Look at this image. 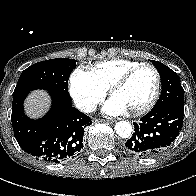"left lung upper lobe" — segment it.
<instances>
[{
	"mask_svg": "<svg viewBox=\"0 0 196 196\" xmlns=\"http://www.w3.org/2000/svg\"><path fill=\"white\" fill-rule=\"evenodd\" d=\"M150 61L157 68L162 81V92L153 108L164 105L184 107V90L178 75L166 65L158 61Z\"/></svg>",
	"mask_w": 196,
	"mask_h": 196,
	"instance_id": "5c2ea615",
	"label": "left lung upper lobe"
}]
</instances>
